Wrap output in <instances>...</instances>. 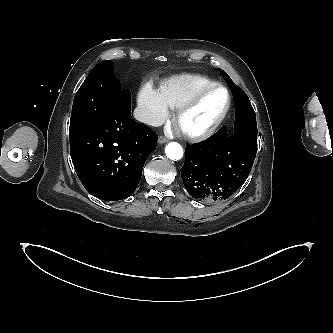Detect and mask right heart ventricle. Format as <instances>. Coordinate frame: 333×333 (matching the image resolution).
I'll list each match as a JSON object with an SVG mask.
<instances>
[{
  "label": "right heart ventricle",
  "mask_w": 333,
  "mask_h": 333,
  "mask_svg": "<svg viewBox=\"0 0 333 333\" xmlns=\"http://www.w3.org/2000/svg\"><path fill=\"white\" fill-rule=\"evenodd\" d=\"M216 84V81L197 74L174 76L162 83L160 94L172 110H177L200 90Z\"/></svg>",
  "instance_id": "e07e8e85"
}]
</instances>
